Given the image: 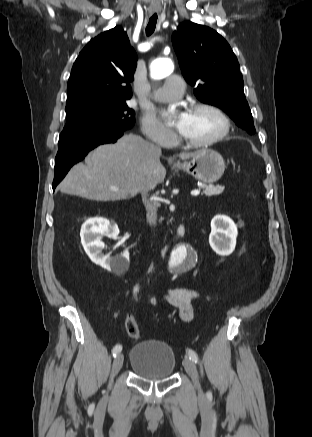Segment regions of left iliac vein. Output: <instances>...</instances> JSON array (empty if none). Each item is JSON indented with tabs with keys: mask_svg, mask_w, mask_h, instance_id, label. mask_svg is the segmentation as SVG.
Instances as JSON below:
<instances>
[{
	"mask_svg": "<svg viewBox=\"0 0 312 437\" xmlns=\"http://www.w3.org/2000/svg\"><path fill=\"white\" fill-rule=\"evenodd\" d=\"M183 366L186 372L188 373V375L193 380L194 385L197 388L199 394L202 395V391L199 383V376L194 362L190 358L185 357L183 360Z\"/></svg>",
	"mask_w": 312,
	"mask_h": 437,
	"instance_id": "4c4485c4",
	"label": "left iliac vein"
}]
</instances>
